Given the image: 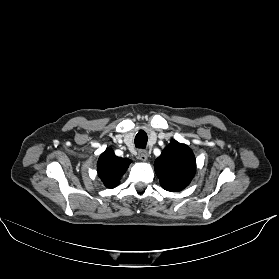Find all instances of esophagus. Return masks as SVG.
<instances>
[{"label": "esophagus", "mask_w": 279, "mask_h": 279, "mask_svg": "<svg viewBox=\"0 0 279 279\" xmlns=\"http://www.w3.org/2000/svg\"><path fill=\"white\" fill-rule=\"evenodd\" d=\"M138 158L141 160V161H147L148 159V153L146 151H139L138 153Z\"/></svg>", "instance_id": "34e87169"}]
</instances>
